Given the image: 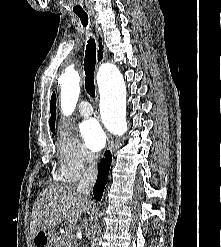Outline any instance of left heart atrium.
<instances>
[{
	"label": "left heart atrium",
	"mask_w": 221,
	"mask_h": 247,
	"mask_svg": "<svg viewBox=\"0 0 221 247\" xmlns=\"http://www.w3.org/2000/svg\"><path fill=\"white\" fill-rule=\"evenodd\" d=\"M80 134L85 145L91 151L101 150L106 142V135L96 119H87L80 125Z\"/></svg>",
	"instance_id": "1"
}]
</instances>
